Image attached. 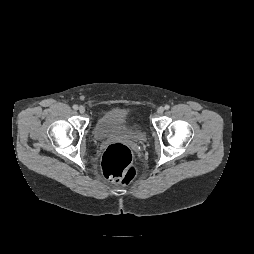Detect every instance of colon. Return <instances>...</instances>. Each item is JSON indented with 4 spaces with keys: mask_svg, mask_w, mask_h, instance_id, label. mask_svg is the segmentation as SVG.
I'll return each instance as SVG.
<instances>
[{
    "mask_svg": "<svg viewBox=\"0 0 254 254\" xmlns=\"http://www.w3.org/2000/svg\"><path fill=\"white\" fill-rule=\"evenodd\" d=\"M102 168L107 179L121 184H129L136 176V169L132 163V152L123 143H114L105 149Z\"/></svg>",
    "mask_w": 254,
    "mask_h": 254,
    "instance_id": "colon-1",
    "label": "colon"
}]
</instances>
